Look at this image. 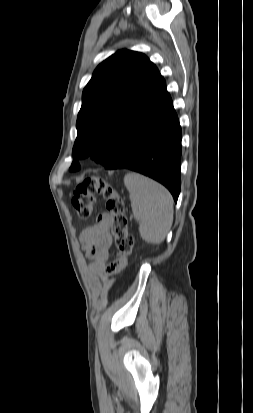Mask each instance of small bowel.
Wrapping results in <instances>:
<instances>
[{
	"label": "small bowel",
	"instance_id": "c3829d8e",
	"mask_svg": "<svg viewBox=\"0 0 253 413\" xmlns=\"http://www.w3.org/2000/svg\"><path fill=\"white\" fill-rule=\"evenodd\" d=\"M112 217L108 212L100 213L94 225L88 226L80 234V242L88 258L93 272L111 276L120 272L127 261L117 260L110 264L112 245Z\"/></svg>",
	"mask_w": 253,
	"mask_h": 413
}]
</instances>
